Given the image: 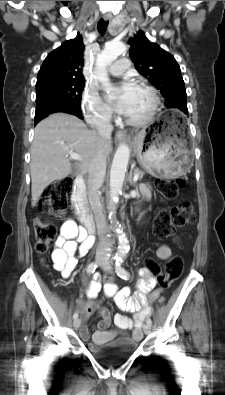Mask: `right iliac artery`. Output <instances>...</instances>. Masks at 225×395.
Wrapping results in <instances>:
<instances>
[{"label": "right iliac artery", "instance_id": "right-iliac-artery-1", "mask_svg": "<svg viewBox=\"0 0 225 395\" xmlns=\"http://www.w3.org/2000/svg\"><path fill=\"white\" fill-rule=\"evenodd\" d=\"M97 267H98V264L95 263V262H92V263H90V264L87 266L86 271H87L88 274H93V273L95 272V270H96ZM73 318H74V319H77V318H78V313H77V312H75V313L73 314Z\"/></svg>", "mask_w": 225, "mask_h": 395}]
</instances>
